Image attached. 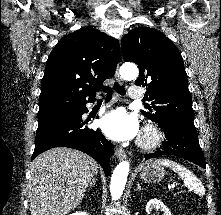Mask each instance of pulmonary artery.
I'll return each instance as SVG.
<instances>
[{
    "instance_id": "obj_1",
    "label": "pulmonary artery",
    "mask_w": 221,
    "mask_h": 215,
    "mask_svg": "<svg viewBox=\"0 0 221 215\" xmlns=\"http://www.w3.org/2000/svg\"><path fill=\"white\" fill-rule=\"evenodd\" d=\"M129 97L132 99H140L143 93L139 87L133 86L129 89Z\"/></svg>"
}]
</instances>
